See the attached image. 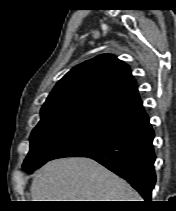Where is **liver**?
<instances>
[{
  "label": "liver",
  "instance_id": "liver-1",
  "mask_svg": "<svg viewBox=\"0 0 176 211\" xmlns=\"http://www.w3.org/2000/svg\"><path fill=\"white\" fill-rule=\"evenodd\" d=\"M30 191L33 201H141L125 180L89 158L48 162Z\"/></svg>",
  "mask_w": 176,
  "mask_h": 211
}]
</instances>
